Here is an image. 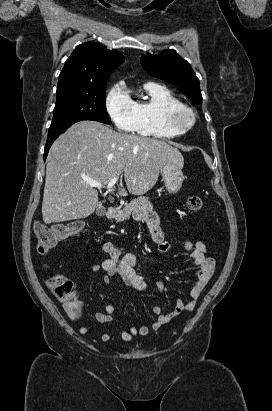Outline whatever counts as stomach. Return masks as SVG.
<instances>
[{
	"mask_svg": "<svg viewBox=\"0 0 272 411\" xmlns=\"http://www.w3.org/2000/svg\"><path fill=\"white\" fill-rule=\"evenodd\" d=\"M160 174L162 176V180L164 181L166 190L170 194H175L181 189L184 176L182 168L178 164L174 162H167L161 165Z\"/></svg>",
	"mask_w": 272,
	"mask_h": 411,
	"instance_id": "obj_1",
	"label": "stomach"
}]
</instances>
